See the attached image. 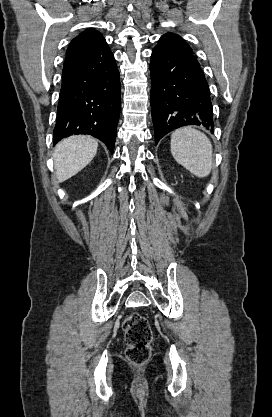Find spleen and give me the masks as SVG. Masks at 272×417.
I'll use <instances>...</instances> for the list:
<instances>
[{
	"label": "spleen",
	"instance_id": "obj_1",
	"mask_svg": "<svg viewBox=\"0 0 272 417\" xmlns=\"http://www.w3.org/2000/svg\"><path fill=\"white\" fill-rule=\"evenodd\" d=\"M171 153L177 163L193 175L203 178L212 168V144L201 131L192 127L175 130L171 135Z\"/></svg>",
	"mask_w": 272,
	"mask_h": 417
}]
</instances>
